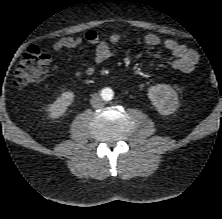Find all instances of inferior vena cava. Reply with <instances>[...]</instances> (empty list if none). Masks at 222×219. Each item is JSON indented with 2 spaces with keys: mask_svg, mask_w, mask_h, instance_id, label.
Listing matches in <instances>:
<instances>
[{
  "mask_svg": "<svg viewBox=\"0 0 222 219\" xmlns=\"http://www.w3.org/2000/svg\"><path fill=\"white\" fill-rule=\"evenodd\" d=\"M90 102L93 108H101L104 105L102 98L96 93L92 95Z\"/></svg>",
  "mask_w": 222,
  "mask_h": 219,
  "instance_id": "602c4592",
  "label": "inferior vena cava"
}]
</instances>
